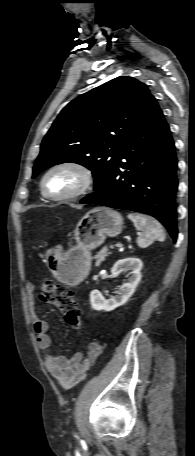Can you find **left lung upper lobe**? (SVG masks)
<instances>
[{
	"label": "left lung upper lobe",
	"instance_id": "1",
	"mask_svg": "<svg viewBox=\"0 0 195 456\" xmlns=\"http://www.w3.org/2000/svg\"><path fill=\"white\" fill-rule=\"evenodd\" d=\"M155 98L135 78L120 76L71 101L45 135L33 168L73 162L92 171L96 191L117 161L133 126Z\"/></svg>",
	"mask_w": 195,
	"mask_h": 456
}]
</instances>
